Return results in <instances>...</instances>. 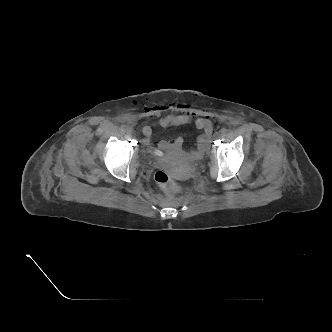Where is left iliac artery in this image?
<instances>
[{
	"label": "left iliac artery",
	"instance_id": "44dca946",
	"mask_svg": "<svg viewBox=\"0 0 332 332\" xmlns=\"http://www.w3.org/2000/svg\"><path fill=\"white\" fill-rule=\"evenodd\" d=\"M220 132H221L222 135H225V134H226V129H225V128H222V129L220 130Z\"/></svg>",
	"mask_w": 332,
	"mask_h": 332
}]
</instances>
